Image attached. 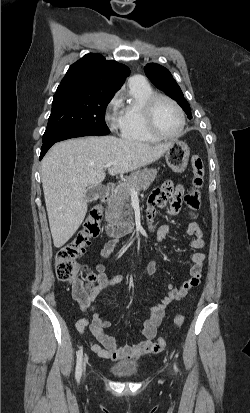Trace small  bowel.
I'll return each instance as SVG.
<instances>
[{
	"mask_svg": "<svg viewBox=\"0 0 250 413\" xmlns=\"http://www.w3.org/2000/svg\"><path fill=\"white\" fill-rule=\"evenodd\" d=\"M184 195L185 190L183 189V186L176 185L171 181H167L162 186L155 188L148 200V220H152L156 207H164L168 199H171L172 203L168 207L167 212L169 214H176L179 211ZM187 216L191 222L186 228V233L193 237L189 242V247L196 250H202L206 244L203 232L199 224L195 221L196 215L194 213H188ZM172 230V226L168 224H163L158 227L155 230L157 242H162ZM116 243V240H112L104 245L101 252L103 259L109 258ZM205 258V254L200 251L195 252L190 256L189 262L191 263V268L189 277L178 288H175L172 284L166 285V295L157 304L149 308L148 317L144 321L141 331L143 339L134 345L124 346L118 345L114 337L105 333V329L110 328L112 324L110 321L103 319L99 315L93 303L96 296L102 291L122 282L123 276L116 275L112 278H108L105 274L103 263H98L96 266L97 284L89 295L87 302L83 305L85 310H89L92 313V320L89 321L87 318L79 319L76 322L77 331L83 334L86 328L89 327V330L95 339V341L90 344L91 349L101 358L131 360L147 354L158 353L161 350L157 349L154 338L156 337L158 327L163 320L165 309L173 301L184 298L191 288L199 284ZM156 271L157 261L152 260L147 265V273L153 275Z\"/></svg>",
	"mask_w": 250,
	"mask_h": 413,
	"instance_id": "c3829d8e",
	"label": "small bowel"
}]
</instances>
